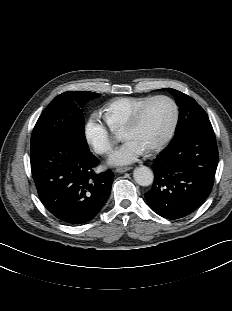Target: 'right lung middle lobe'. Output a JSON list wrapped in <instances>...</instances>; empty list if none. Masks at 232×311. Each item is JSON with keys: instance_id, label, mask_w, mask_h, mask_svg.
I'll use <instances>...</instances> for the list:
<instances>
[{"instance_id": "right-lung-middle-lobe-1", "label": "right lung middle lobe", "mask_w": 232, "mask_h": 311, "mask_svg": "<svg viewBox=\"0 0 232 311\" xmlns=\"http://www.w3.org/2000/svg\"><path fill=\"white\" fill-rule=\"evenodd\" d=\"M99 95L89 91H69L55 97L34 127L31 146L47 140H63L89 151L82 108Z\"/></svg>"}]
</instances>
